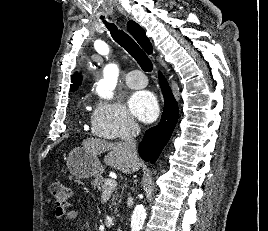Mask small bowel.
<instances>
[{
    "label": "small bowel",
    "mask_w": 268,
    "mask_h": 231,
    "mask_svg": "<svg viewBox=\"0 0 268 231\" xmlns=\"http://www.w3.org/2000/svg\"><path fill=\"white\" fill-rule=\"evenodd\" d=\"M79 201L75 203L77 206ZM55 217L59 220H75L78 217V210L72 205H69V208L59 207L55 210Z\"/></svg>",
    "instance_id": "c3829d8e"
}]
</instances>
